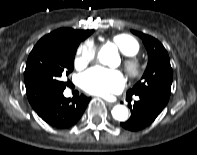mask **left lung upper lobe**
<instances>
[{
    "instance_id": "left-lung-upper-lobe-1",
    "label": "left lung upper lobe",
    "mask_w": 197,
    "mask_h": 155,
    "mask_svg": "<svg viewBox=\"0 0 197 155\" xmlns=\"http://www.w3.org/2000/svg\"><path fill=\"white\" fill-rule=\"evenodd\" d=\"M132 32L142 38L148 52V65L142 80L130 89L127 95L150 97L166 105L173 79L168 53L157 39L141 32Z\"/></svg>"
}]
</instances>
